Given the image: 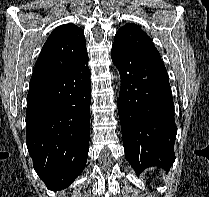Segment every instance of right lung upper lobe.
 Segmentation results:
<instances>
[{"instance_id": "cb5924a9", "label": "right lung upper lobe", "mask_w": 209, "mask_h": 197, "mask_svg": "<svg viewBox=\"0 0 209 197\" xmlns=\"http://www.w3.org/2000/svg\"><path fill=\"white\" fill-rule=\"evenodd\" d=\"M85 54L87 50L83 31L73 24L58 26L49 35L41 50L30 84L66 70Z\"/></svg>"}]
</instances>
